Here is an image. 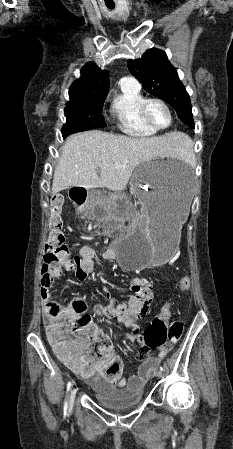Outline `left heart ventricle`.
Masks as SVG:
<instances>
[{
	"instance_id": "1",
	"label": "left heart ventricle",
	"mask_w": 233,
	"mask_h": 449,
	"mask_svg": "<svg viewBox=\"0 0 233 449\" xmlns=\"http://www.w3.org/2000/svg\"><path fill=\"white\" fill-rule=\"evenodd\" d=\"M147 115L150 121L158 127L166 126L169 122V116L166 109L156 102L148 105Z\"/></svg>"
}]
</instances>
